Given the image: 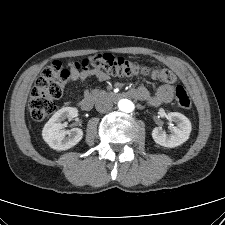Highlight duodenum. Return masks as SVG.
Wrapping results in <instances>:
<instances>
[{"label":"duodenum","mask_w":225,"mask_h":225,"mask_svg":"<svg viewBox=\"0 0 225 225\" xmlns=\"http://www.w3.org/2000/svg\"><path fill=\"white\" fill-rule=\"evenodd\" d=\"M124 95L126 96H134L135 92H126V93H123ZM103 95H115L114 93H111V92H102L100 90H95V91H92L89 95H87L86 97H84L80 103H79V106L82 110H85V111H89L92 109L95 101L103 96Z\"/></svg>","instance_id":"1"}]
</instances>
